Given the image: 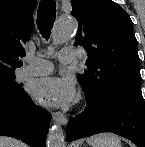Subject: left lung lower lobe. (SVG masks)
<instances>
[{
	"mask_svg": "<svg viewBox=\"0 0 145 147\" xmlns=\"http://www.w3.org/2000/svg\"><path fill=\"white\" fill-rule=\"evenodd\" d=\"M85 111L71 118L67 141L112 132L145 147V104L141 86L119 89L99 102L86 99Z\"/></svg>",
	"mask_w": 145,
	"mask_h": 147,
	"instance_id": "left-lung-lower-lobe-1",
	"label": "left lung lower lobe"
}]
</instances>
